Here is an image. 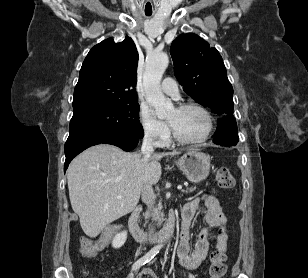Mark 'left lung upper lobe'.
I'll return each mask as SVG.
<instances>
[{"label":"left lung upper lobe","instance_id":"1","mask_svg":"<svg viewBox=\"0 0 308 278\" xmlns=\"http://www.w3.org/2000/svg\"><path fill=\"white\" fill-rule=\"evenodd\" d=\"M174 73L184 91L218 115H232L233 88L219 52L194 33L177 37L171 45Z\"/></svg>","mask_w":308,"mask_h":278}]
</instances>
